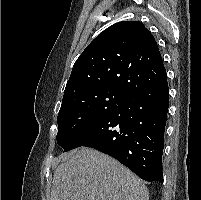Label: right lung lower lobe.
<instances>
[{"mask_svg": "<svg viewBox=\"0 0 201 200\" xmlns=\"http://www.w3.org/2000/svg\"><path fill=\"white\" fill-rule=\"evenodd\" d=\"M169 106L167 76L129 95L109 114L64 148H95L111 155L146 181L163 182L162 155Z\"/></svg>", "mask_w": 201, "mask_h": 200, "instance_id": "obj_1", "label": "right lung lower lobe"}]
</instances>
